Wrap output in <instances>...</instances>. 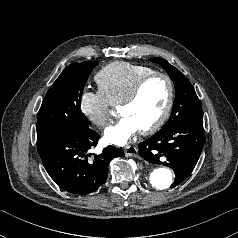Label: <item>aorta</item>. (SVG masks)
<instances>
[{
    "label": "aorta",
    "instance_id": "obj_1",
    "mask_svg": "<svg viewBox=\"0 0 238 238\" xmlns=\"http://www.w3.org/2000/svg\"><path fill=\"white\" fill-rule=\"evenodd\" d=\"M152 186L159 190L168 189L173 182V173L167 168H155L149 176Z\"/></svg>",
    "mask_w": 238,
    "mask_h": 238
}]
</instances>
